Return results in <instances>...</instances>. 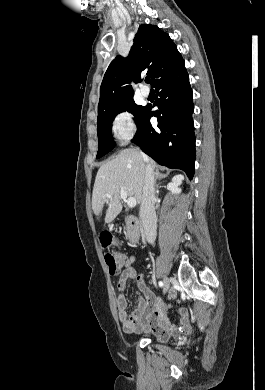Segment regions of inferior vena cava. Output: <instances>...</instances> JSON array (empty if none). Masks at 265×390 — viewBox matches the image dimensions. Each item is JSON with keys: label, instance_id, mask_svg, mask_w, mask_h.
Instances as JSON below:
<instances>
[{"label": "inferior vena cava", "instance_id": "1", "mask_svg": "<svg viewBox=\"0 0 265 390\" xmlns=\"http://www.w3.org/2000/svg\"><path fill=\"white\" fill-rule=\"evenodd\" d=\"M142 156L146 162V166L139 216L144 227L146 241L150 244H154L157 235L155 179L153 168L149 163V158L144 154H142Z\"/></svg>", "mask_w": 265, "mask_h": 390}]
</instances>
